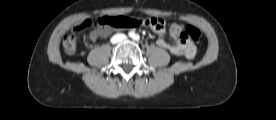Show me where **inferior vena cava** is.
I'll list each match as a JSON object with an SVG mask.
<instances>
[{"label": "inferior vena cava", "instance_id": "1", "mask_svg": "<svg viewBox=\"0 0 276 120\" xmlns=\"http://www.w3.org/2000/svg\"><path fill=\"white\" fill-rule=\"evenodd\" d=\"M125 39H126V35L125 34L118 33V34H115L111 38V43L112 44H116V43H119L121 41H124Z\"/></svg>", "mask_w": 276, "mask_h": 120}]
</instances>
